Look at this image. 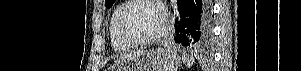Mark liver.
I'll return each instance as SVG.
<instances>
[{"instance_id": "obj_1", "label": "liver", "mask_w": 301, "mask_h": 71, "mask_svg": "<svg viewBox=\"0 0 301 71\" xmlns=\"http://www.w3.org/2000/svg\"><path fill=\"white\" fill-rule=\"evenodd\" d=\"M135 54H137V53H133V54H130V55H127V56H121V59L124 58V57L134 56ZM120 60H118L117 62H119Z\"/></svg>"}]
</instances>
